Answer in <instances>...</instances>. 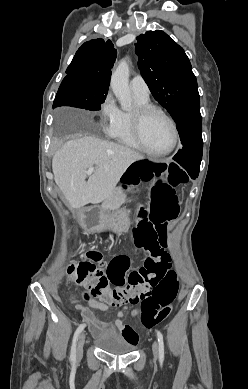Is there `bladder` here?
<instances>
[{
  "mask_svg": "<svg viewBox=\"0 0 248 389\" xmlns=\"http://www.w3.org/2000/svg\"><path fill=\"white\" fill-rule=\"evenodd\" d=\"M93 343L102 351L112 355H127L136 349L132 343L122 335H109L104 332L93 334Z\"/></svg>",
  "mask_w": 248,
  "mask_h": 389,
  "instance_id": "1",
  "label": "bladder"
}]
</instances>
